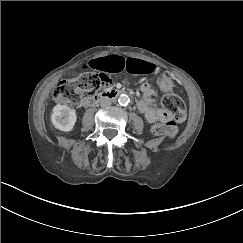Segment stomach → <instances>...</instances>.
<instances>
[{
    "label": "stomach",
    "mask_w": 243,
    "mask_h": 243,
    "mask_svg": "<svg viewBox=\"0 0 243 243\" xmlns=\"http://www.w3.org/2000/svg\"><path fill=\"white\" fill-rule=\"evenodd\" d=\"M160 87L164 90V91H171L173 88V82L169 77H162L160 79Z\"/></svg>",
    "instance_id": "obj_1"
}]
</instances>
